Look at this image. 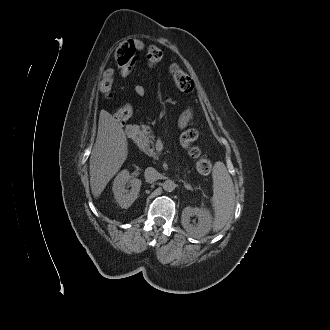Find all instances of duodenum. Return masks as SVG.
<instances>
[{
	"mask_svg": "<svg viewBox=\"0 0 330 330\" xmlns=\"http://www.w3.org/2000/svg\"><path fill=\"white\" fill-rule=\"evenodd\" d=\"M125 134L128 139L132 140L137 134V128L135 126L129 125L125 129Z\"/></svg>",
	"mask_w": 330,
	"mask_h": 330,
	"instance_id": "410a0bca",
	"label": "duodenum"
}]
</instances>
